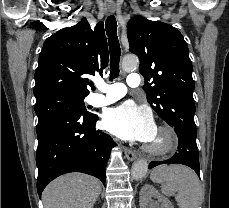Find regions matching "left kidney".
<instances>
[{
  "instance_id": "obj_1",
  "label": "left kidney",
  "mask_w": 229,
  "mask_h": 208,
  "mask_svg": "<svg viewBox=\"0 0 229 208\" xmlns=\"http://www.w3.org/2000/svg\"><path fill=\"white\" fill-rule=\"evenodd\" d=\"M152 198H157L158 204H161L160 208H173L168 198L159 194L153 186L145 184L140 192V208H157V202H153Z\"/></svg>"
}]
</instances>
